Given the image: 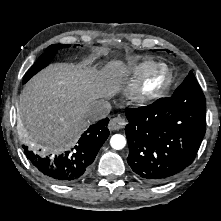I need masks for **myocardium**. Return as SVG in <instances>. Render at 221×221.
Instances as JSON below:
<instances>
[{"label": "myocardium", "mask_w": 221, "mask_h": 221, "mask_svg": "<svg viewBox=\"0 0 221 221\" xmlns=\"http://www.w3.org/2000/svg\"><path fill=\"white\" fill-rule=\"evenodd\" d=\"M173 74L163 64H154L139 76L131 90V98L140 104L148 103L161 96L171 85Z\"/></svg>", "instance_id": "myocardium-1"}]
</instances>
